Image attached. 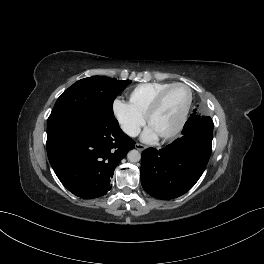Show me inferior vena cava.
Segmentation results:
<instances>
[{
	"label": "inferior vena cava",
	"instance_id": "obj_1",
	"mask_svg": "<svg viewBox=\"0 0 264 264\" xmlns=\"http://www.w3.org/2000/svg\"><path fill=\"white\" fill-rule=\"evenodd\" d=\"M122 130L131 137H136L140 133V127L131 124L122 125Z\"/></svg>",
	"mask_w": 264,
	"mask_h": 264
}]
</instances>
